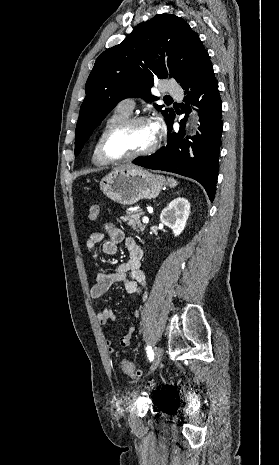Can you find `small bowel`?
<instances>
[{
	"label": "small bowel",
	"instance_id": "c3829d8e",
	"mask_svg": "<svg viewBox=\"0 0 279 465\" xmlns=\"http://www.w3.org/2000/svg\"><path fill=\"white\" fill-rule=\"evenodd\" d=\"M100 242H102V251L107 255L116 254L118 244L124 242L129 252V258L126 262L116 266L113 271L97 274L90 290L91 297L95 299L102 297L117 282L123 283L126 292L130 294L146 288V276L141 269L143 251L139 244L133 238L126 237L124 232L112 223H106L102 231L92 232L86 241V247L89 250H95ZM135 315L138 316V313ZM114 320L115 314L111 307H106L97 314V321L101 326H105ZM135 330L134 326L127 329V332L120 339L122 347L127 348L131 345ZM105 346L110 354L115 353L116 349L110 339H105Z\"/></svg>",
	"mask_w": 279,
	"mask_h": 465
}]
</instances>
